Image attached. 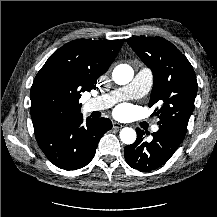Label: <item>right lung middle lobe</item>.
Wrapping results in <instances>:
<instances>
[{
  "label": "right lung middle lobe",
  "mask_w": 217,
  "mask_h": 217,
  "mask_svg": "<svg viewBox=\"0 0 217 217\" xmlns=\"http://www.w3.org/2000/svg\"><path fill=\"white\" fill-rule=\"evenodd\" d=\"M80 96L72 94L56 78L41 81L31 90L33 126H44L74 117L81 109Z\"/></svg>",
  "instance_id": "obj_1"
}]
</instances>
